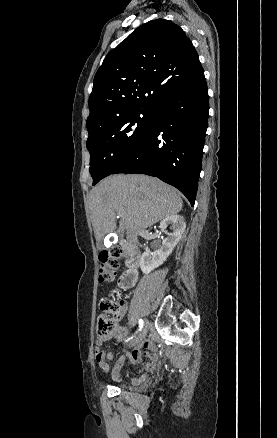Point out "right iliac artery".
<instances>
[{
    "instance_id": "right-iliac-artery-1",
    "label": "right iliac artery",
    "mask_w": 277,
    "mask_h": 438,
    "mask_svg": "<svg viewBox=\"0 0 277 438\" xmlns=\"http://www.w3.org/2000/svg\"><path fill=\"white\" fill-rule=\"evenodd\" d=\"M143 325H144V321L142 320V319H140L139 320V331L143 328ZM133 337H131V338H128L126 341H128V340H130V339H132Z\"/></svg>"
}]
</instances>
